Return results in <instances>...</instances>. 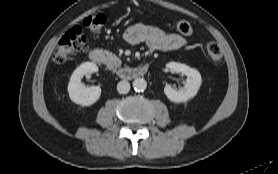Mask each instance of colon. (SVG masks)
<instances>
[{
	"label": "colon",
	"mask_w": 278,
	"mask_h": 174,
	"mask_svg": "<svg viewBox=\"0 0 278 174\" xmlns=\"http://www.w3.org/2000/svg\"><path fill=\"white\" fill-rule=\"evenodd\" d=\"M106 22V17L103 14H96L86 17L83 20V26L90 31L100 30ZM178 31L183 35L192 33V26L187 21H180L177 24ZM86 43V38L80 26H75L68 30L59 40L53 54V61L56 64H64L76 53L81 51ZM206 53L209 60L214 64H219L222 61L223 53L220 46L215 42L207 44Z\"/></svg>",
	"instance_id": "1"
}]
</instances>
